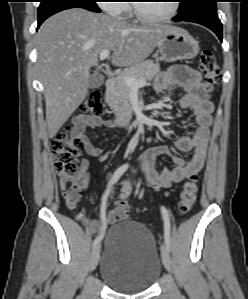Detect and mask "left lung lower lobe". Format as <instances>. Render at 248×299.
I'll list each match as a JSON object with an SVG mask.
<instances>
[{
  "mask_svg": "<svg viewBox=\"0 0 248 299\" xmlns=\"http://www.w3.org/2000/svg\"><path fill=\"white\" fill-rule=\"evenodd\" d=\"M173 21H189L198 23L211 29L222 41V24L218 18L216 10H207L193 14L190 17H184L180 13L173 18Z\"/></svg>",
  "mask_w": 248,
  "mask_h": 299,
  "instance_id": "0a47b994",
  "label": "left lung lower lobe"
}]
</instances>
